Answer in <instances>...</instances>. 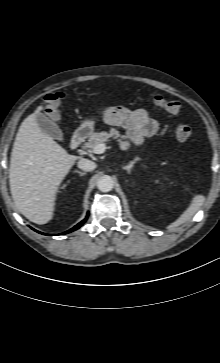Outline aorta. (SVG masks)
<instances>
[{
  "label": "aorta",
  "mask_w": 220,
  "mask_h": 363,
  "mask_svg": "<svg viewBox=\"0 0 220 363\" xmlns=\"http://www.w3.org/2000/svg\"><path fill=\"white\" fill-rule=\"evenodd\" d=\"M113 187H114V180L109 175H103L97 181V188L101 192H105V193L109 192L113 189Z\"/></svg>",
  "instance_id": "aorta-1"
}]
</instances>
